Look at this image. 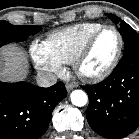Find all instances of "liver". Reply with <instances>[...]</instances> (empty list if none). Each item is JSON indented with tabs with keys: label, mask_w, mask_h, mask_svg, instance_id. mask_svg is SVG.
<instances>
[{
	"label": "liver",
	"mask_w": 139,
	"mask_h": 139,
	"mask_svg": "<svg viewBox=\"0 0 139 139\" xmlns=\"http://www.w3.org/2000/svg\"><path fill=\"white\" fill-rule=\"evenodd\" d=\"M28 60L26 53L19 47L8 45L0 49V79L20 81L27 75Z\"/></svg>",
	"instance_id": "1"
}]
</instances>
